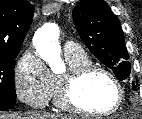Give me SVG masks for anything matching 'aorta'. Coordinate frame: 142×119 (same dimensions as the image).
<instances>
[{
	"label": "aorta",
	"instance_id": "1",
	"mask_svg": "<svg viewBox=\"0 0 142 119\" xmlns=\"http://www.w3.org/2000/svg\"><path fill=\"white\" fill-rule=\"evenodd\" d=\"M59 35L60 30L56 24L46 23L36 31L33 38L36 51L49 64L53 72H59L64 68L58 42Z\"/></svg>",
	"mask_w": 142,
	"mask_h": 119
}]
</instances>
